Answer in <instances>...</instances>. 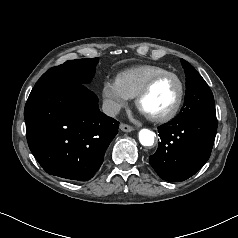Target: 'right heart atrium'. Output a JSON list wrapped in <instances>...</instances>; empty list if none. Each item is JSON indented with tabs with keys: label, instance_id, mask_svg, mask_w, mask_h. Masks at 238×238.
<instances>
[{
	"label": "right heart atrium",
	"instance_id": "d8ad5b80",
	"mask_svg": "<svg viewBox=\"0 0 238 238\" xmlns=\"http://www.w3.org/2000/svg\"><path fill=\"white\" fill-rule=\"evenodd\" d=\"M102 97L107 111L116 115L128 103L129 97L122 91L117 80H105L102 84Z\"/></svg>",
	"mask_w": 238,
	"mask_h": 238
}]
</instances>
